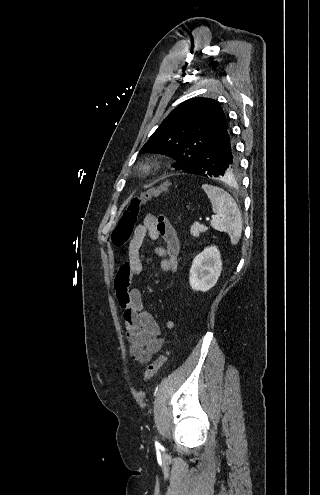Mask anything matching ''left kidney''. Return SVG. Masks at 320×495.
<instances>
[{"label":"left kidney","instance_id":"5707ae66","mask_svg":"<svg viewBox=\"0 0 320 495\" xmlns=\"http://www.w3.org/2000/svg\"><path fill=\"white\" fill-rule=\"evenodd\" d=\"M222 271V260L216 246L205 248L193 260L189 283L193 290L206 292L218 281Z\"/></svg>","mask_w":320,"mask_h":495}]
</instances>
